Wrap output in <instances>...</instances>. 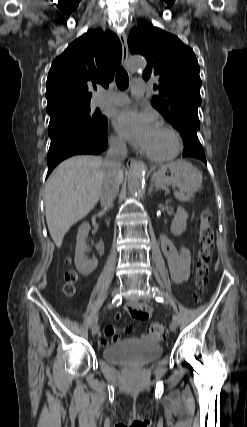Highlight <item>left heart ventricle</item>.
Returning <instances> with one entry per match:
<instances>
[{
  "mask_svg": "<svg viewBox=\"0 0 247 427\" xmlns=\"http://www.w3.org/2000/svg\"><path fill=\"white\" fill-rule=\"evenodd\" d=\"M172 146V139L169 134L161 128H156L153 137L146 150L153 153H165Z\"/></svg>",
  "mask_w": 247,
  "mask_h": 427,
  "instance_id": "left-heart-ventricle-1",
  "label": "left heart ventricle"
}]
</instances>
